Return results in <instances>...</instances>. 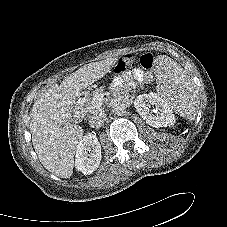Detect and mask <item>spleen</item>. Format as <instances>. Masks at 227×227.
I'll return each instance as SVG.
<instances>
[{
  "mask_svg": "<svg viewBox=\"0 0 227 227\" xmlns=\"http://www.w3.org/2000/svg\"><path fill=\"white\" fill-rule=\"evenodd\" d=\"M155 74L158 95L176 113L194 120L200 100L196 85L187 72L173 59L163 55L157 58Z\"/></svg>",
  "mask_w": 227,
  "mask_h": 227,
  "instance_id": "3e777b00",
  "label": "spleen"
}]
</instances>
